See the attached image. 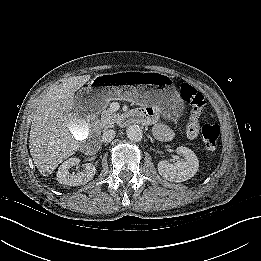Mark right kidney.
Returning a JSON list of instances; mask_svg holds the SVG:
<instances>
[{
	"label": "right kidney",
	"mask_w": 261,
	"mask_h": 261,
	"mask_svg": "<svg viewBox=\"0 0 261 261\" xmlns=\"http://www.w3.org/2000/svg\"><path fill=\"white\" fill-rule=\"evenodd\" d=\"M72 118L73 117H71V120ZM80 136H82V138H85L86 134ZM79 162V158L73 157L64 161L62 165H60L57 172V180L60 184H65L68 186H80L86 184L93 179L96 173V168L92 163H86L85 168L82 172H79L77 174L69 173L70 168L79 164Z\"/></svg>",
	"instance_id": "ca27d5eb"
}]
</instances>
